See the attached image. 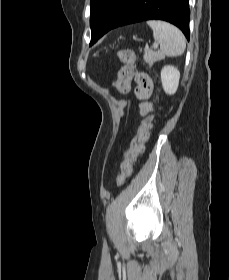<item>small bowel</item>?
<instances>
[{
  "instance_id": "1",
  "label": "small bowel",
  "mask_w": 229,
  "mask_h": 280,
  "mask_svg": "<svg viewBox=\"0 0 229 280\" xmlns=\"http://www.w3.org/2000/svg\"><path fill=\"white\" fill-rule=\"evenodd\" d=\"M118 82H119V81L117 80L116 86H117ZM131 82H132V81L129 82V84H128V90H127L124 94H127V93L130 91V89H131ZM134 94H135V96H136L138 99H141V100L147 99V98H149V96H150V95H148V96L145 95L144 92H143V90H142V88H141L140 86H137V87H136V89L134 90ZM150 110H151V105H150L149 103L145 102V103H142V104L140 105V113H141L142 115L148 114Z\"/></svg>"
}]
</instances>
